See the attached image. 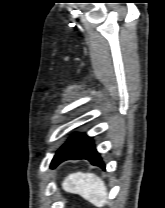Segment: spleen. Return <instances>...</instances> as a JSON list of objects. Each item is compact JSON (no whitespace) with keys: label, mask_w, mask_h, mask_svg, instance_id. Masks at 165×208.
<instances>
[{"label":"spleen","mask_w":165,"mask_h":208,"mask_svg":"<svg viewBox=\"0 0 165 208\" xmlns=\"http://www.w3.org/2000/svg\"><path fill=\"white\" fill-rule=\"evenodd\" d=\"M62 187L66 192L78 194L97 207L107 203L105 183L93 173H71L63 181Z\"/></svg>","instance_id":"obj_1"}]
</instances>
